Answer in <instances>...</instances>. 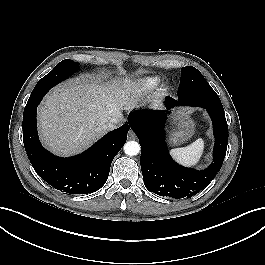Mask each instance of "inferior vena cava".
Wrapping results in <instances>:
<instances>
[{"label":"inferior vena cava","mask_w":265,"mask_h":265,"mask_svg":"<svg viewBox=\"0 0 265 265\" xmlns=\"http://www.w3.org/2000/svg\"><path fill=\"white\" fill-rule=\"evenodd\" d=\"M122 122V118H112L110 121H108L104 128L106 130H113L115 129L120 123Z\"/></svg>","instance_id":"inferior-vena-cava-1"}]
</instances>
